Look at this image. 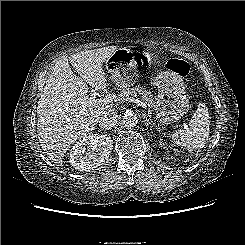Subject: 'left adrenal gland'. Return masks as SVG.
I'll list each match as a JSON object with an SVG mask.
<instances>
[{"label": "left adrenal gland", "instance_id": "1", "mask_svg": "<svg viewBox=\"0 0 245 245\" xmlns=\"http://www.w3.org/2000/svg\"><path fill=\"white\" fill-rule=\"evenodd\" d=\"M143 119L146 126H149V124H153V126L156 127V124L153 122V120L151 118H148L145 114H143Z\"/></svg>", "mask_w": 245, "mask_h": 245}]
</instances>
